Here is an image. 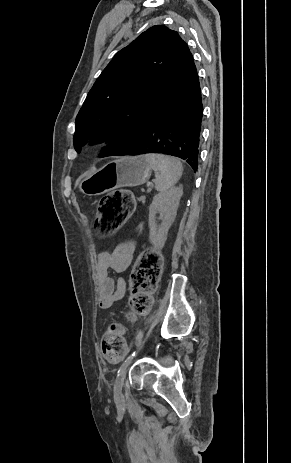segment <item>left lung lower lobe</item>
<instances>
[{"label":"left lung lower lobe","instance_id":"left-lung-lower-lobe-1","mask_svg":"<svg viewBox=\"0 0 291 463\" xmlns=\"http://www.w3.org/2000/svg\"><path fill=\"white\" fill-rule=\"evenodd\" d=\"M203 105L198 74L176 92L137 144L122 155L157 153L198 168Z\"/></svg>","mask_w":291,"mask_h":463}]
</instances>
